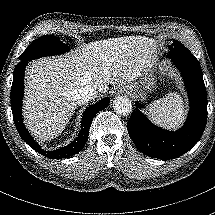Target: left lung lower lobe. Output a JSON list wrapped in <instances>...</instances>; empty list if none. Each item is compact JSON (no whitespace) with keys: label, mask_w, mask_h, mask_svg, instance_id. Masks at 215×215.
Instances as JSON below:
<instances>
[{"label":"left lung lower lobe","mask_w":215,"mask_h":215,"mask_svg":"<svg viewBox=\"0 0 215 215\" xmlns=\"http://www.w3.org/2000/svg\"><path fill=\"white\" fill-rule=\"evenodd\" d=\"M167 57L180 70L190 101V110L184 126L175 132L152 124L146 116L135 109L127 122L128 133L142 153L164 160L175 159L189 151L201 138L207 122V93L202 70L191 52H173ZM137 108L143 105L136 102Z\"/></svg>","instance_id":"0a47b994"}]
</instances>
